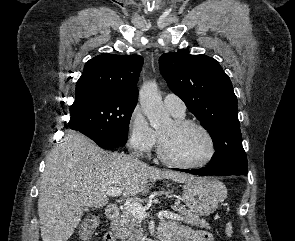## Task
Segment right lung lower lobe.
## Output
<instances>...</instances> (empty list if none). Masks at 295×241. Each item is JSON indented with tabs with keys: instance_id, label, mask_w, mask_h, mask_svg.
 <instances>
[{
	"instance_id": "right-lung-lower-lobe-1",
	"label": "right lung lower lobe",
	"mask_w": 295,
	"mask_h": 241,
	"mask_svg": "<svg viewBox=\"0 0 295 241\" xmlns=\"http://www.w3.org/2000/svg\"><path fill=\"white\" fill-rule=\"evenodd\" d=\"M104 149H107V150H109V149H112V148H104Z\"/></svg>"
}]
</instances>
